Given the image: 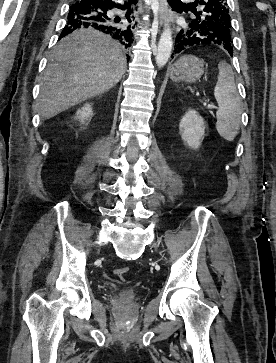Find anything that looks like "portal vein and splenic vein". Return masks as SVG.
<instances>
[{
  "label": "portal vein and splenic vein",
  "mask_w": 276,
  "mask_h": 363,
  "mask_svg": "<svg viewBox=\"0 0 276 363\" xmlns=\"http://www.w3.org/2000/svg\"><path fill=\"white\" fill-rule=\"evenodd\" d=\"M203 105L206 106L208 109H212L215 107L213 104H207V102H204Z\"/></svg>",
  "instance_id": "18ae733b"
}]
</instances>
